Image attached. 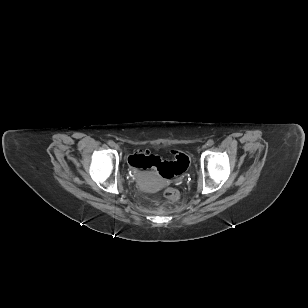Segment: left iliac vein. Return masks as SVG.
I'll list each match as a JSON object with an SVG mask.
<instances>
[{
    "label": "left iliac vein",
    "instance_id": "1",
    "mask_svg": "<svg viewBox=\"0 0 308 308\" xmlns=\"http://www.w3.org/2000/svg\"><path fill=\"white\" fill-rule=\"evenodd\" d=\"M206 147H207L206 145L203 146V148H206Z\"/></svg>",
    "mask_w": 308,
    "mask_h": 308
}]
</instances>
